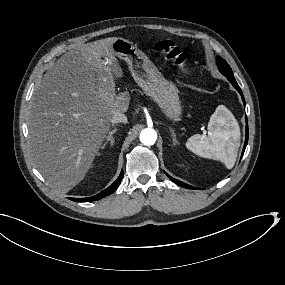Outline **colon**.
I'll return each mask as SVG.
<instances>
[{
    "label": "colon",
    "mask_w": 285,
    "mask_h": 285,
    "mask_svg": "<svg viewBox=\"0 0 285 285\" xmlns=\"http://www.w3.org/2000/svg\"><path fill=\"white\" fill-rule=\"evenodd\" d=\"M153 49L163 58L170 60L182 69H186L187 59L177 45L169 39L159 40L154 43Z\"/></svg>",
    "instance_id": "5ec220e1"
}]
</instances>
